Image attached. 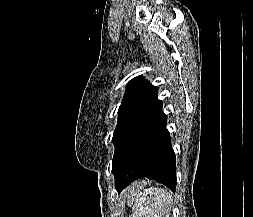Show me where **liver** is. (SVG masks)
Instances as JSON below:
<instances>
[{
  "mask_svg": "<svg viewBox=\"0 0 253 217\" xmlns=\"http://www.w3.org/2000/svg\"><path fill=\"white\" fill-rule=\"evenodd\" d=\"M139 186H140V184H139L138 182H135V183L133 184V186L129 189V194H130V193H133V192H134V191H133L134 188H135V187H139Z\"/></svg>",
  "mask_w": 253,
  "mask_h": 217,
  "instance_id": "liver-1",
  "label": "liver"
}]
</instances>
